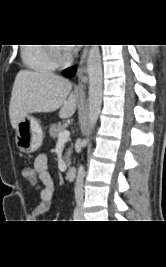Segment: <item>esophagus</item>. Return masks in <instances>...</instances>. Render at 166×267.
Instances as JSON below:
<instances>
[{
    "label": "esophagus",
    "instance_id": "obj_1",
    "mask_svg": "<svg viewBox=\"0 0 166 267\" xmlns=\"http://www.w3.org/2000/svg\"><path fill=\"white\" fill-rule=\"evenodd\" d=\"M87 53H88V49L84 48L82 55H81V59H80V66H82L85 63L86 58H87ZM85 72L86 71L84 68H81L79 71L78 85H77V88H79V89H84L86 87L88 78H87Z\"/></svg>",
    "mask_w": 166,
    "mask_h": 267
}]
</instances>
